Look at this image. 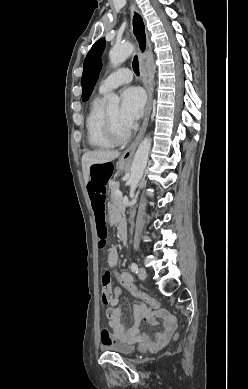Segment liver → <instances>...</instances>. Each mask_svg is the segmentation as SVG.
I'll return each instance as SVG.
<instances>
[{"label": "liver", "instance_id": "1", "mask_svg": "<svg viewBox=\"0 0 248 389\" xmlns=\"http://www.w3.org/2000/svg\"><path fill=\"white\" fill-rule=\"evenodd\" d=\"M119 155L118 151L111 150H95L84 153L82 156V170L85 182L89 180L91 165L111 162Z\"/></svg>", "mask_w": 248, "mask_h": 389}]
</instances>
